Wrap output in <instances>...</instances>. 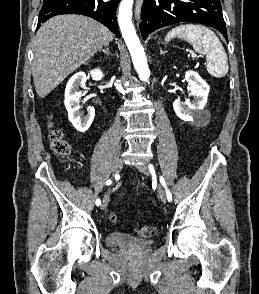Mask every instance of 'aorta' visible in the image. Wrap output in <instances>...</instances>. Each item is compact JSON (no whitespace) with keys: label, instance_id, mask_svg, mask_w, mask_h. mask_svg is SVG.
<instances>
[{"label":"aorta","instance_id":"obj_1","mask_svg":"<svg viewBox=\"0 0 259 294\" xmlns=\"http://www.w3.org/2000/svg\"><path fill=\"white\" fill-rule=\"evenodd\" d=\"M132 7L133 0L121 1L118 13V23L139 78L143 81H148L150 70L147 65L144 48L140 43L135 27L132 23Z\"/></svg>","mask_w":259,"mask_h":294}]
</instances>
